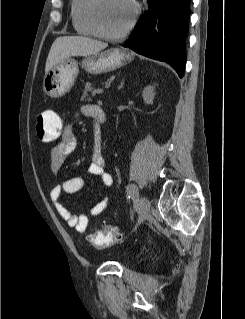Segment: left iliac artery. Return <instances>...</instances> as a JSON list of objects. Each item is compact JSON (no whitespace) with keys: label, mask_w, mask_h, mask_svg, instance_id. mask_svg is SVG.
I'll return each instance as SVG.
<instances>
[{"label":"left iliac artery","mask_w":245,"mask_h":319,"mask_svg":"<svg viewBox=\"0 0 245 319\" xmlns=\"http://www.w3.org/2000/svg\"><path fill=\"white\" fill-rule=\"evenodd\" d=\"M127 194L131 199H137V188L134 184H129L127 186Z\"/></svg>","instance_id":"obj_1"}]
</instances>
